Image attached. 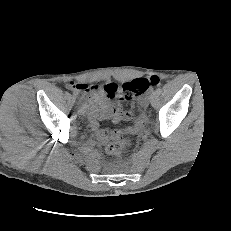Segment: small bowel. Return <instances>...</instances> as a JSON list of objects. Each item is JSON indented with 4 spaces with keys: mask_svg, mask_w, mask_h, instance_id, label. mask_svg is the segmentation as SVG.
<instances>
[{
    "mask_svg": "<svg viewBox=\"0 0 231 231\" xmlns=\"http://www.w3.org/2000/svg\"><path fill=\"white\" fill-rule=\"evenodd\" d=\"M69 87H71L75 92L81 93L88 100L89 121L92 129L96 133V136L101 143L104 144L110 139H120L123 135L132 133L137 128V126H135L114 131L101 128L100 123L103 120H111L112 122L117 123L121 120H130L133 117L132 110L125 111L122 108L121 101L123 99H120V102L116 104H111L108 102L109 98L114 96V90L117 87L115 84H108L106 86V98H103L96 88L89 87L85 84H69ZM141 122L142 118H139L137 125H139Z\"/></svg>",
    "mask_w": 231,
    "mask_h": 231,
    "instance_id": "c3829d8e",
    "label": "small bowel"
}]
</instances>
